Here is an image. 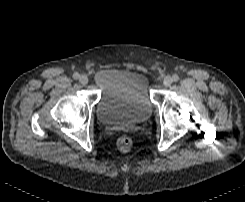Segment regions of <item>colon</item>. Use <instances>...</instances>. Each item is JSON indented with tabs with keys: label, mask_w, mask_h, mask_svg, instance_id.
<instances>
[{
	"label": "colon",
	"mask_w": 245,
	"mask_h": 202,
	"mask_svg": "<svg viewBox=\"0 0 245 202\" xmlns=\"http://www.w3.org/2000/svg\"><path fill=\"white\" fill-rule=\"evenodd\" d=\"M132 139L129 136H121L118 140V149L123 152V153H127L130 151L131 147H132Z\"/></svg>",
	"instance_id": "obj_1"
}]
</instances>
